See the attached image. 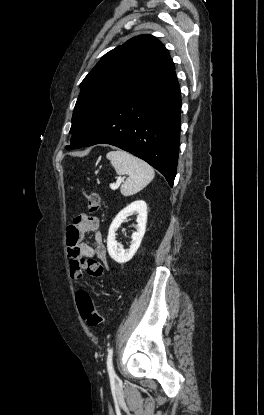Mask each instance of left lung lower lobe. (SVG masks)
<instances>
[{
  "instance_id": "1",
  "label": "left lung lower lobe",
  "mask_w": 264,
  "mask_h": 415,
  "mask_svg": "<svg viewBox=\"0 0 264 415\" xmlns=\"http://www.w3.org/2000/svg\"><path fill=\"white\" fill-rule=\"evenodd\" d=\"M180 112L181 93L174 70L123 99L80 147L101 143L117 146L149 163L172 187L179 153Z\"/></svg>"
}]
</instances>
